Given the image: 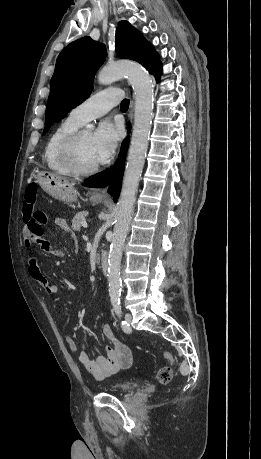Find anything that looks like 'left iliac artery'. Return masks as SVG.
<instances>
[{
	"label": "left iliac artery",
	"instance_id": "left-iliac-artery-1",
	"mask_svg": "<svg viewBox=\"0 0 261 459\" xmlns=\"http://www.w3.org/2000/svg\"><path fill=\"white\" fill-rule=\"evenodd\" d=\"M112 305L114 307V310H115L117 316L119 317V319H121L122 318V308H121L120 300L119 299L113 300L112 301ZM121 327H122V330L125 333H130L131 332V327H130L129 323H127L124 320L121 321Z\"/></svg>",
	"mask_w": 261,
	"mask_h": 459
}]
</instances>
